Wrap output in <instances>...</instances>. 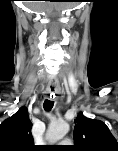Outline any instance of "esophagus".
I'll list each match as a JSON object with an SVG mask.
<instances>
[{"instance_id": "34e87169", "label": "esophagus", "mask_w": 118, "mask_h": 151, "mask_svg": "<svg viewBox=\"0 0 118 151\" xmlns=\"http://www.w3.org/2000/svg\"><path fill=\"white\" fill-rule=\"evenodd\" d=\"M57 88L55 86H49L47 89V95L51 97L52 95H55L57 93Z\"/></svg>"}]
</instances>
